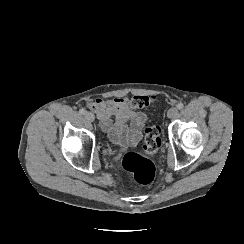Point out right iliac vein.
Listing matches in <instances>:
<instances>
[{"label": "right iliac vein", "mask_w": 244, "mask_h": 244, "mask_svg": "<svg viewBox=\"0 0 244 244\" xmlns=\"http://www.w3.org/2000/svg\"><path fill=\"white\" fill-rule=\"evenodd\" d=\"M85 118L91 122H93L95 120V116L91 113V112H86L84 114Z\"/></svg>", "instance_id": "63e3f726"}]
</instances>
